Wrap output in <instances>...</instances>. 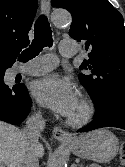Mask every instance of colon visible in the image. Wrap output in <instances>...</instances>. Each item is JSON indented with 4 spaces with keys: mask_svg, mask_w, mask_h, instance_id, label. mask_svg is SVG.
I'll return each instance as SVG.
<instances>
[{
    "mask_svg": "<svg viewBox=\"0 0 125 167\" xmlns=\"http://www.w3.org/2000/svg\"><path fill=\"white\" fill-rule=\"evenodd\" d=\"M118 167H125V142L120 148V163Z\"/></svg>",
    "mask_w": 125,
    "mask_h": 167,
    "instance_id": "5ec220e1",
    "label": "colon"
}]
</instances>
